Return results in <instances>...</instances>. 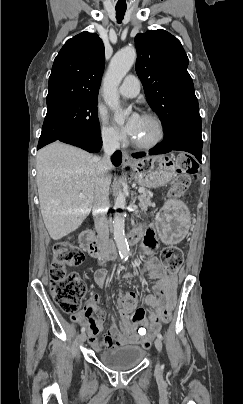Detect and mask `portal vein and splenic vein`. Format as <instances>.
<instances>
[{"label":"portal vein and splenic vein","mask_w":243,"mask_h":404,"mask_svg":"<svg viewBox=\"0 0 243 404\" xmlns=\"http://www.w3.org/2000/svg\"><path fill=\"white\" fill-rule=\"evenodd\" d=\"M145 188H139L138 192L139 194H142L144 192ZM80 198H82L83 194H79Z\"/></svg>","instance_id":"obj_1"}]
</instances>
